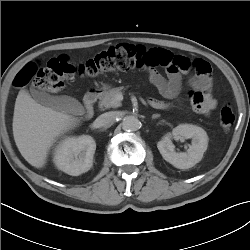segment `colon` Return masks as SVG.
I'll list each match as a JSON object with an SVG mask.
<instances>
[{"instance_id":"5ec220e1","label":"colon","mask_w":250,"mask_h":250,"mask_svg":"<svg viewBox=\"0 0 250 250\" xmlns=\"http://www.w3.org/2000/svg\"><path fill=\"white\" fill-rule=\"evenodd\" d=\"M187 65L184 57L160 49H146L139 45L121 43L109 47L95 55L83 64L74 65L67 55L62 54L51 58L46 66L39 67L33 62L27 63L15 76L13 85L18 88L32 83L33 86L48 92H58L65 80L74 75L94 77L103 72L130 69H154L161 67L167 72H177ZM196 72L205 69L210 78L202 84L199 90L190 93L192 104L204 99V90L211 84V66L204 60L195 62ZM235 115L230 104L223 103L219 109V121L223 129L228 130L233 125Z\"/></svg>"}]
</instances>
